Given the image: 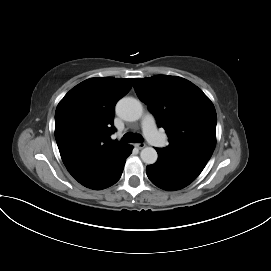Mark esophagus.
<instances>
[{
	"label": "esophagus",
	"instance_id": "obj_1",
	"mask_svg": "<svg viewBox=\"0 0 271 271\" xmlns=\"http://www.w3.org/2000/svg\"><path fill=\"white\" fill-rule=\"evenodd\" d=\"M135 147H137L138 149H143L146 147V144L145 143H137V144H135Z\"/></svg>",
	"mask_w": 271,
	"mask_h": 271
}]
</instances>
